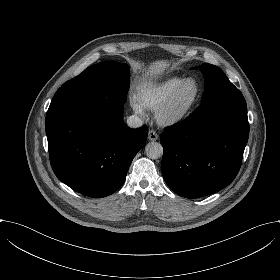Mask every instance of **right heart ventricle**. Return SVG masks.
<instances>
[{
    "instance_id": "1",
    "label": "right heart ventricle",
    "mask_w": 280,
    "mask_h": 280,
    "mask_svg": "<svg viewBox=\"0 0 280 280\" xmlns=\"http://www.w3.org/2000/svg\"><path fill=\"white\" fill-rule=\"evenodd\" d=\"M184 77L170 76L157 82L144 81L136 88V100L149 110H159L170 99Z\"/></svg>"
}]
</instances>
